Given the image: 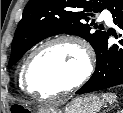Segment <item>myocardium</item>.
<instances>
[{
    "mask_svg": "<svg viewBox=\"0 0 123 113\" xmlns=\"http://www.w3.org/2000/svg\"><path fill=\"white\" fill-rule=\"evenodd\" d=\"M60 42L72 43L81 50V52L84 55V69L82 74L73 83L69 84L68 86L64 88L57 89L51 93L41 94V93L33 92L31 90V86L29 83V70L34 58L37 56L39 52H41L45 48ZM94 67H95V63H94L93 51L86 40L74 34L58 35L38 45L27 57L22 68V86L31 95H35L36 97H39L42 99H49L58 94H64V93L73 91L74 89L84 84L93 74Z\"/></svg>",
    "mask_w": 123,
    "mask_h": 113,
    "instance_id": "myocardium-1",
    "label": "myocardium"
}]
</instances>
